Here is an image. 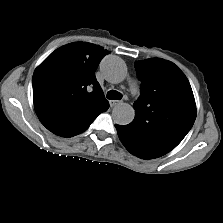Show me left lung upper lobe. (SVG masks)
<instances>
[{"instance_id":"5c2ea615","label":"left lung upper lobe","mask_w":223,"mask_h":223,"mask_svg":"<svg viewBox=\"0 0 223 223\" xmlns=\"http://www.w3.org/2000/svg\"><path fill=\"white\" fill-rule=\"evenodd\" d=\"M141 95L134 120L124 126L129 141L166 154L192 128L196 105L190 83L172 62L151 58L135 62Z\"/></svg>"}]
</instances>
